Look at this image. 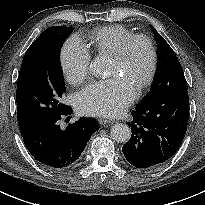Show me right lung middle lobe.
Returning a JSON list of instances; mask_svg holds the SVG:
<instances>
[{
    "instance_id": "1",
    "label": "right lung middle lobe",
    "mask_w": 205,
    "mask_h": 205,
    "mask_svg": "<svg viewBox=\"0 0 205 205\" xmlns=\"http://www.w3.org/2000/svg\"><path fill=\"white\" fill-rule=\"evenodd\" d=\"M72 30L63 26L50 27L28 48L16 91L17 118L24 126L31 127L67 107L61 103L65 85L59 56Z\"/></svg>"
}]
</instances>
